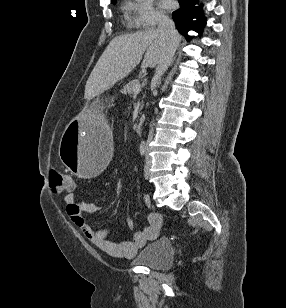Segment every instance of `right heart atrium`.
<instances>
[{
	"label": "right heart atrium",
	"mask_w": 286,
	"mask_h": 308,
	"mask_svg": "<svg viewBox=\"0 0 286 308\" xmlns=\"http://www.w3.org/2000/svg\"><path fill=\"white\" fill-rule=\"evenodd\" d=\"M126 10L131 23L140 29H151L166 20V15L155 7L153 0H127Z\"/></svg>",
	"instance_id": "obj_1"
}]
</instances>
